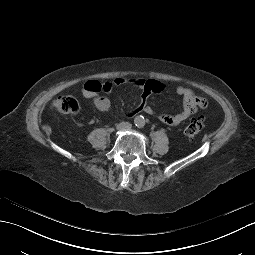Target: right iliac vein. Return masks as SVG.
Listing matches in <instances>:
<instances>
[{
	"instance_id": "obj_1",
	"label": "right iliac vein",
	"mask_w": 255,
	"mask_h": 255,
	"mask_svg": "<svg viewBox=\"0 0 255 255\" xmlns=\"http://www.w3.org/2000/svg\"><path fill=\"white\" fill-rule=\"evenodd\" d=\"M122 127H123L122 125H119V126H118V129H121Z\"/></svg>"
}]
</instances>
